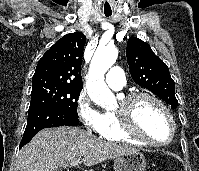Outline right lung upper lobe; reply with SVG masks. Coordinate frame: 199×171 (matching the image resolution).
I'll list each match as a JSON object with an SVG mask.
<instances>
[{
    "label": "right lung upper lobe",
    "instance_id": "1",
    "mask_svg": "<svg viewBox=\"0 0 199 171\" xmlns=\"http://www.w3.org/2000/svg\"><path fill=\"white\" fill-rule=\"evenodd\" d=\"M86 37L81 32L66 34L39 60L33 81L50 80L82 87L81 64Z\"/></svg>",
    "mask_w": 199,
    "mask_h": 171
}]
</instances>
